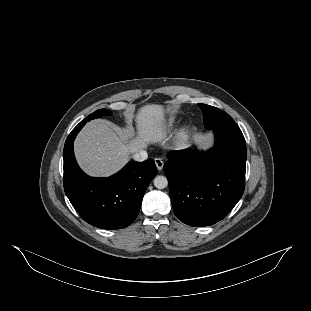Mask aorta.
<instances>
[{"label":"aorta","mask_w":311,"mask_h":311,"mask_svg":"<svg viewBox=\"0 0 311 311\" xmlns=\"http://www.w3.org/2000/svg\"><path fill=\"white\" fill-rule=\"evenodd\" d=\"M154 186L158 189H164L168 185V180L165 176L158 175L153 179Z\"/></svg>","instance_id":"762f6f07"}]
</instances>
